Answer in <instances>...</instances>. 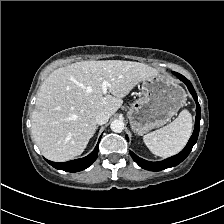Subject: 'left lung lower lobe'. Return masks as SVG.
Instances as JSON below:
<instances>
[{
    "instance_id": "obj_1",
    "label": "left lung lower lobe",
    "mask_w": 224,
    "mask_h": 224,
    "mask_svg": "<svg viewBox=\"0 0 224 224\" xmlns=\"http://www.w3.org/2000/svg\"><path fill=\"white\" fill-rule=\"evenodd\" d=\"M174 75H176L181 81H183L190 93L192 94L195 102H196V121H195V129L194 132L187 143L186 147L177 155L170 157L166 160L160 161V162H150L146 161L144 159L139 158L137 155H135L132 151H130V155L133 158V160L142 168L150 171H161L166 168L174 167L181 163L190 153L192 150V147L197 141L198 134H199V128H200V119H201V112H200V105L198 103L196 92L191 84V82L186 79L183 75L173 72ZM127 140L128 137L126 136Z\"/></svg>"
}]
</instances>
